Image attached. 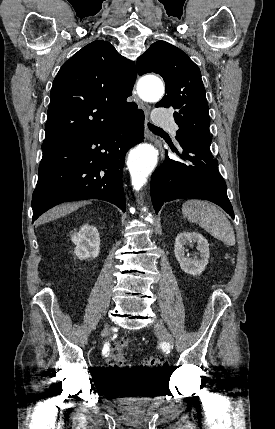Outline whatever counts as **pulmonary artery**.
<instances>
[{
    "mask_svg": "<svg viewBox=\"0 0 275 429\" xmlns=\"http://www.w3.org/2000/svg\"><path fill=\"white\" fill-rule=\"evenodd\" d=\"M152 119L155 124L162 127H167L171 129L173 133H175L177 130V126L174 123L173 118L160 109L155 110V112L153 113Z\"/></svg>",
    "mask_w": 275,
    "mask_h": 429,
    "instance_id": "obj_1",
    "label": "pulmonary artery"
}]
</instances>
